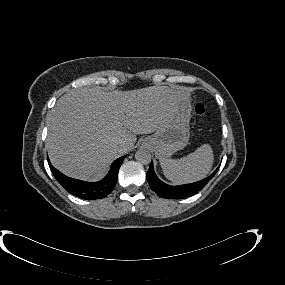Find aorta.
<instances>
[{"mask_svg": "<svg viewBox=\"0 0 285 285\" xmlns=\"http://www.w3.org/2000/svg\"><path fill=\"white\" fill-rule=\"evenodd\" d=\"M135 159L138 163L147 165L151 162V153L146 149H140L136 152Z\"/></svg>", "mask_w": 285, "mask_h": 285, "instance_id": "obj_1", "label": "aorta"}]
</instances>
